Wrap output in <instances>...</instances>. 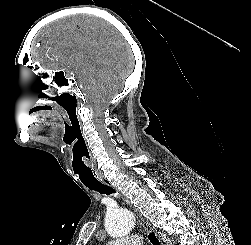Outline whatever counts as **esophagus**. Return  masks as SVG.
<instances>
[{"label": "esophagus", "instance_id": "34e87169", "mask_svg": "<svg viewBox=\"0 0 251 245\" xmlns=\"http://www.w3.org/2000/svg\"><path fill=\"white\" fill-rule=\"evenodd\" d=\"M102 182H103L105 185H107V186H109V187H112V188H114V189L116 190V192H117V194L119 195V197H120L129 207H131V208L134 210V212L137 214V217H138L139 222H141V223L145 224L147 227L153 229L152 224H151L147 219H145V218L142 216V214L140 213V211H139L138 209H136V208L132 205V203L130 202V200H129L128 198H126L125 196H123V195L118 191V189H116V188L111 184L110 181H108L107 179H103ZM158 239H159V241L161 242L160 236H158ZM161 245H164V243L161 242Z\"/></svg>", "mask_w": 251, "mask_h": 245}]
</instances>
